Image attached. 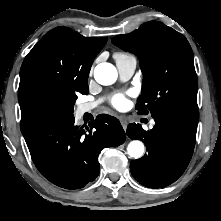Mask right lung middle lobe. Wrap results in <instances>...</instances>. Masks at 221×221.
I'll list each match as a JSON object with an SVG mask.
<instances>
[{"instance_id": "obj_1", "label": "right lung middle lobe", "mask_w": 221, "mask_h": 221, "mask_svg": "<svg viewBox=\"0 0 221 221\" xmlns=\"http://www.w3.org/2000/svg\"><path fill=\"white\" fill-rule=\"evenodd\" d=\"M88 83L81 86L67 85L54 95L44 97L38 104L39 120L73 115L77 94H88Z\"/></svg>"}]
</instances>
